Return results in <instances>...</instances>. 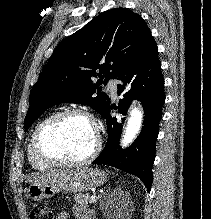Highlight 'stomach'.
<instances>
[{"instance_id":"stomach-1","label":"stomach","mask_w":211,"mask_h":219,"mask_svg":"<svg viewBox=\"0 0 211 219\" xmlns=\"http://www.w3.org/2000/svg\"><path fill=\"white\" fill-rule=\"evenodd\" d=\"M106 181L104 172L96 168H81L68 180L58 183L31 184L28 196L34 201H42L60 192H84L103 185Z\"/></svg>"}]
</instances>
